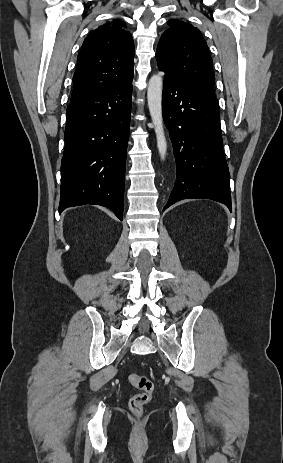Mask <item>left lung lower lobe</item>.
I'll return each instance as SVG.
<instances>
[{"label": "left lung lower lobe", "instance_id": "obj_1", "mask_svg": "<svg viewBox=\"0 0 283 463\" xmlns=\"http://www.w3.org/2000/svg\"><path fill=\"white\" fill-rule=\"evenodd\" d=\"M162 113L176 161L175 185L163 211L189 198L212 199L231 210L230 174L222 148L219 105L166 73Z\"/></svg>", "mask_w": 283, "mask_h": 463}]
</instances>
